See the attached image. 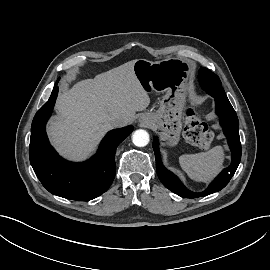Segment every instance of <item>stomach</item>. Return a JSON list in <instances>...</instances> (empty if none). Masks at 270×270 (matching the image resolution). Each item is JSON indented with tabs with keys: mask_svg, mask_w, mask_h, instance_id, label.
Masks as SVG:
<instances>
[{
	"mask_svg": "<svg viewBox=\"0 0 270 270\" xmlns=\"http://www.w3.org/2000/svg\"><path fill=\"white\" fill-rule=\"evenodd\" d=\"M133 71L146 91L162 94L159 108L144 115L150 117L152 128L161 130L166 145H176L182 130L191 75L190 63L181 58H167L158 62L138 59Z\"/></svg>",
	"mask_w": 270,
	"mask_h": 270,
	"instance_id": "0dacf381",
	"label": "stomach"
}]
</instances>
